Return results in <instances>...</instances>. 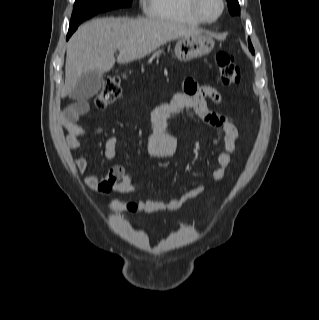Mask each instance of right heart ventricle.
<instances>
[{
	"mask_svg": "<svg viewBox=\"0 0 319 320\" xmlns=\"http://www.w3.org/2000/svg\"><path fill=\"white\" fill-rule=\"evenodd\" d=\"M188 0H146L147 14L159 21L199 26L202 24L191 13Z\"/></svg>",
	"mask_w": 319,
	"mask_h": 320,
	"instance_id": "right-heart-ventricle-1",
	"label": "right heart ventricle"
}]
</instances>
